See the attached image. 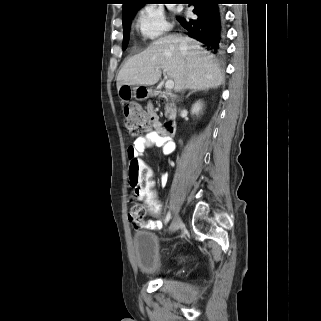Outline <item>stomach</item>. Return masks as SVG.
<instances>
[{
  "instance_id": "0dacf381",
  "label": "stomach",
  "mask_w": 321,
  "mask_h": 321,
  "mask_svg": "<svg viewBox=\"0 0 321 321\" xmlns=\"http://www.w3.org/2000/svg\"><path fill=\"white\" fill-rule=\"evenodd\" d=\"M152 95V90L142 85H123L118 89V97L122 102L130 99L145 100Z\"/></svg>"
}]
</instances>
